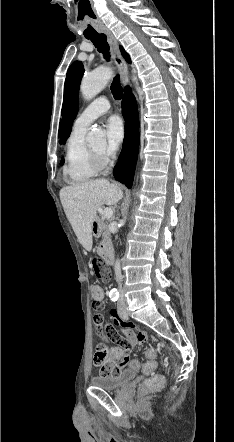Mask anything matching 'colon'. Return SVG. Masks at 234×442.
I'll list each match as a JSON object with an SVG mask.
<instances>
[{
	"mask_svg": "<svg viewBox=\"0 0 234 442\" xmlns=\"http://www.w3.org/2000/svg\"><path fill=\"white\" fill-rule=\"evenodd\" d=\"M92 268L98 279L102 280L103 282H108L110 280V267L102 258H94L92 260ZM91 298L92 307L95 310H101L103 308L104 292L100 286L95 285L92 287ZM98 334L101 337L104 336L102 333ZM143 353L147 358V361L144 364L137 359L129 357L131 352L126 349H121L120 346L110 353L105 348H100L96 352L94 360L98 365H100V372L103 375L119 372L124 367H127V370L130 373L141 370L144 374H150L157 367V350L153 346H148L144 348ZM141 387L142 389H163L164 379L163 377L156 376L152 377L151 380H142Z\"/></svg>",
	"mask_w": 234,
	"mask_h": 442,
	"instance_id": "1",
	"label": "colon"
}]
</instances>
